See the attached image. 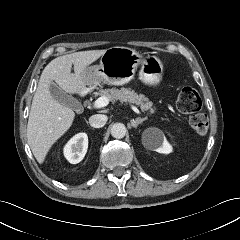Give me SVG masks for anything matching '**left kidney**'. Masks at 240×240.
Segmentation results:
<instances>
[{
	"mask_svg": "<svg viewBox=\"0 0 240 240\" xmlns=\"http://www.w3.org/2000/svg\"><path fill=\"white\" fill-rule=\"evenodd\" d=\"M150 135H155L156 140L152 141ZM142 143L146 149L156 151L158 153L169 154L172 152V146L166 140L163 132L157 128L147 129L142 136Z\"/></svg>",
	"mask_w": 240,
	"mask_h": 240,
	"instance_id": "5707ae66",
	"label": "left kidney"
}]
</instances>
